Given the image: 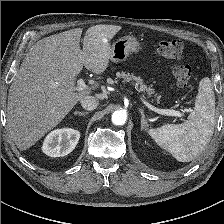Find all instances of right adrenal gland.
Segmentation results:
<instances>
[{
	"label": "right adrenal gland",
	"instance_id": "obj_1",
	"mask_svg": "<svg viewBox=\"0 0 224 224\" xmlns=\"http://www.w3.org/2000/svg\"><path fill=\"white\" fill-rule=\"evenodd\" d=\"M74 114H75V115H79V116H86V115L89 114V112H80V111H76Z\"/></svg>",
	"mask_w": 224,
	"mask_h": 224
}]
</instances>
